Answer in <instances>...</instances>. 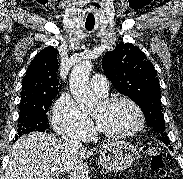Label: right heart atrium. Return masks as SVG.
<instances>
[{
    "label": "right heart atrium",
    "instance_id": "obj_1",
    "mask_svg": "<svg viewBox=\"0 0 183 179\" xmlns=\"http://www.w3.org/2000/svg\"><path fill=\"white\" fill-rule=\"evenodd\" d=\"M52 125L61 137H86L92 131V123L70 97H60L53 108Z\"/></svg>",
    "mask_w": 183,
    "mask_h": 179
}]
</instances>
